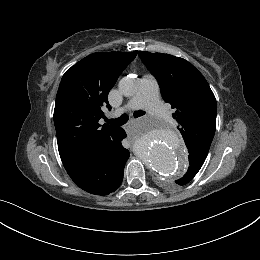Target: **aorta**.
Wrapping results in <instances>:
<instances>
[{
    "instance_id": "1",
    "label": "aorta",
    "mask_w": 260,
    "mask_h": 260,
    "mask_svg": "<svg viewBox=\"0 0 260 260\" xmlns=\"http://www.w3.org/2000/svg\"><path fill=\"white\" fill-rule=\"evenodd\" d=\"M139 89L135 78L124 77L119 82L120 92L127 97L133 96ZM146 135L145 163L157 174L165 177L181 175L187 168V156L177 133L162 122L145 119L139 122L132 136Z\"/></svg>"
}]
</instances>
